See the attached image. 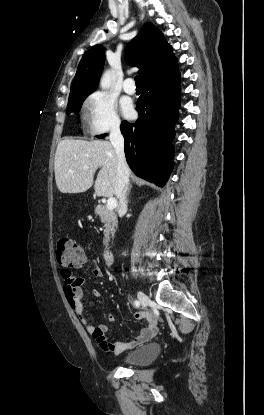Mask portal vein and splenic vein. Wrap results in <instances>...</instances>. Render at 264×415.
<instances>
[{"label":"portal vein and splenic vein","instance_id":"obj_1","mask_svg":"<svg viewBox=\"0 0 264 415\" xmlns=\"http://www.w3.org/2000/svg\"><path fill=\"white\" fill-rule=\"evenodd\" d=\"M85 169H88V167H86ZM117 207V201L115 198H109L106 204V208L108 210H113Z\"/></svg>","mask_w":264,"mask_h":415}]
</instances>
